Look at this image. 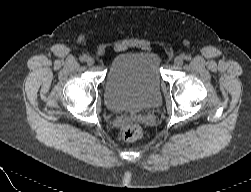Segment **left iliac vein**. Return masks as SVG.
I'll list each match as a JSON object with an SVG mask.
<instances>
[{
	"instance_id": "4c4485c4",
	"label": "left iliac vein",
	"mask_w": 251,
	"mask_h": 192,
	"mask_svg": "<svg viewBox=\"0 0 251 192\" xmlns=\"http://www.w3.org/2000/svg\"><path fill=\"white\" fill-rule=\"evenodd\" d=\"M183 57L181 56H178L174 59V65L179 67V66H182L183 65Z\"/></svg>"
}]
</instances>
